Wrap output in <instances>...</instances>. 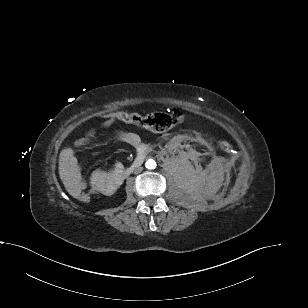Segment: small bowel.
Listing matches in <instances>:
<instances>
[{"mask_svg": "<svg viewBox=\"0 0 308 308\" xmlns=\"http://www.w3.org/2000/svg\"><path fill=\"white\" fill-rule=\"evenodd\" d=\"M114 120L115 117L111 115L103 125L110 126ZM117 136L120 141L134 148L139 149L144 145L141 137L134 132L121 131ZM88 139V137L82 138L78 141V144L86 143ZM59 165L68 190L73 196L80 191L110 195L122 182L123 166L121 164H116L109 171L96 170L92 173L89 182H85L81 175L79 162L71 148H65L61 151Z\"/></svg>", "mask_w": 308, "mask_h": 308, "instance_id": "obj_1", "label": "small bowel"}]
</instances>
